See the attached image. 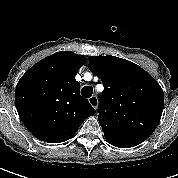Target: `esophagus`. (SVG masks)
I'll return each instance as SVG.
<instances>
[{"mask_svg": "<svg viewBox=\"0 0 178 178\" xmlns=\"http://www.w3.org/2000/svg\"><path fill=\"white\" fill-rule=\"evenodd\" d=\"M89 103L94 109H97V107H98V98L96 96H91L89 98Z\"/></svg>", "mask_w": 178, "mask_h": 178, "instance_id": "esophagus-1", "label": "esophagus"}]
</instances>
